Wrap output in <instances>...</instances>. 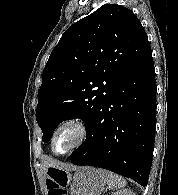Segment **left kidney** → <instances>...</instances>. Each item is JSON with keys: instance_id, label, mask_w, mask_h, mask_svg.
Returning <instances> with one entry per match:
<instances>
[{"instance_id": "left-kidney-1", "label": "left kidney", "mask_w": 178, "mask_h": 195, "mask_svg": "<svg viewBox=\"0 0 178 195\" xmlns=\"http://www.w3.org/2000/svg\"><path fill=\"white\" fill-rule=\"evenodd\" d=\"M112 195H135V194L131 190L123 189V190H119V191L115 192Z\"/></svg>"}]
</instances>
